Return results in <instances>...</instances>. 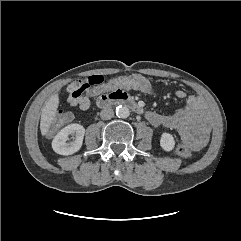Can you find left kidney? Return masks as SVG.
<instances>
[{"instance_id":"5707ae66","label":"left kidney","mask_w":241,"mask_h":241,"mask_svg":"<svg viewBox=\"0 0 241 241\" xmlns=\"http://www.w3.org/2000/svg\"><path fill=\"white\" fill-rule=\"evenodd\" d=\"M160 146L165 151H171L175 146L174 137L169 133H163L160 138Z\"/></svg>"}]
</instances>
